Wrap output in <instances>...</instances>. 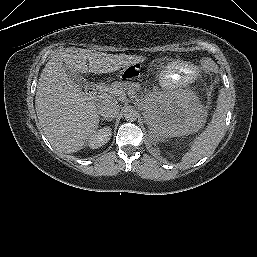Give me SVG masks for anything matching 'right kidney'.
Masks as SVG:
<instances>
[{"label": "right kidney", "mask_w": 257, "mask_h": 257, "mask_svg": "<svg viewBox=\"0 0 257 257\" xmlns=\"http://www.w3.org/2000/svg\"><path fill=\"white\" fill-rule=\"evenodd\" d=\"M111 130L112 129L110 127H104L98 130L92 138L89 139V147L96 149L106 144L112 135Z\"/></svg>", "instance_id": "right-kidney-1"}]
</instances>
